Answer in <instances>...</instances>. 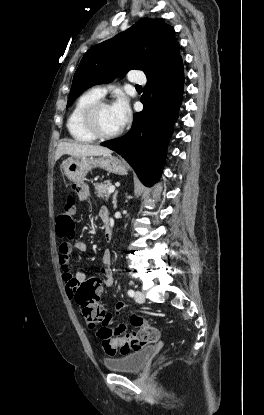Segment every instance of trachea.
Masks as SVG:
<instances>
[{
  "label": "trachea",
  "mask_w": 264,
  "mask_h": 415,
  "mask_svg": "<svg viewBox=\"0 0 264 415\" xmlns=\"http://www.w3.org/2000/svg\"><path fill=\"white\" fill-rule=\"evenodd\" d=\"M136 87H141L140 85H136Z\"/></svg>",
  "instance_id": "trachea-1"
}]
</instances>
